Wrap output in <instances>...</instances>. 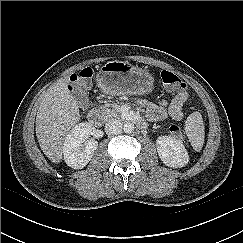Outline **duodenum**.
Returning a JSON list of instances; mask_svg holds the SVG:
<instances>
[{
  "instance_id": "1",
  "label": "duodenum",
  "mask_w": 243,
  "mask_h": 243,
  "mask_svg": "<svg viewBox=\"0 0 243 243\" xmlns=\"http://www.w3.org/2000/svg\"><path fill=\"white\" fill-rule=\"evenodd\" d=\"M87 120L92 125H99L102 121V116L97 109H92L87 114ZM131 121L136 123L141 129L146 128L145 121L139 116H134L131 118Z\"/></svg>"
}]
</instances>
